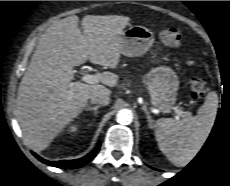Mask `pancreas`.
<instances>
[{"label": "pancreas", "mask_w": 230, "mask_h": 186, "mask_svg": "<svg viewBox=\"0 0 230 186\" xmlns=\"http://www.w3.org/2000/svg\"><path fill=\"white\" fill-rule=\"evenodd\" d=\"M184 116L189 117V116H191V113L190 112H186V113H184Z\"/></svg>", "instance_id": "1"}]
</instances>
